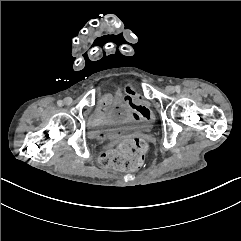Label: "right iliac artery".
Here are the masks:
<instances>
[{
    "label": "right iliac artery",
    "mask_w": 241,
    "mask_h": 241,
    "mask_svg": "<svg viewBox=\"0 0 241 241\" xmlns=\"http://www.w3.org/2000/svg\"><path fill=\"white\" fill-rule=\"evenodd\" d=\"M58 106H62L63 102L61 100L57 101Z\"/></svg>",
    "instance_id": "1"
}]
</instances>
